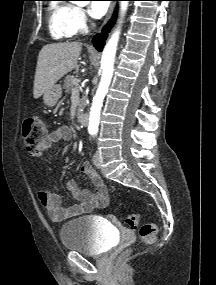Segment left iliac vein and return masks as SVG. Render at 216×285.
Returning a JSON list of instances; mask_svg holds the SVG:
<instances>
[{"label":"left iliac vein","mask_w":216,"mask_h":285,"mask_svg":"<svg viewBox=\"0 0 216 285\" xmlns=\"http://www.w3.org/2000/svg\"><path fill=\"white\" fill-rule=\"evenodd\" d=\"M93 164L97 167L100 168L101 166V157L98 152H96L93 156Z\"/></svg>","instance_id":"4c4485c4"}]
</instances>
